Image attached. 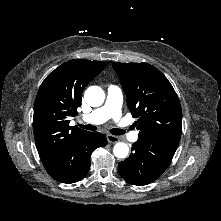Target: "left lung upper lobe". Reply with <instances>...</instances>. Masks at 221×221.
<instances>
[{"label":"left lung upper lobe","mask_w":221,"mask_h":221,"mask_svg":"<svg viewBox=\"0 0 221 221\" xmlns=\"http://www.w3.org/2000/svg\"><path fill=\"white\" fill-rule=\"evenodd\" d=\"M112 66L127 96L139 138L176 150L182 132V109L169 80L148 63Z\"/></svg>","instance_id":"left-lung-upper-lobe-1"}]
</instances>
